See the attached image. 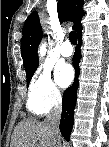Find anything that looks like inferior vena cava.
<instances>
[{"instance_id":"inferior-vena-cava-1","label":"inferior vena cava","mask_w":109,"mask_h":147,"mask_svg":"<svg viewBox=\"0 0 109 147\" xmlns=\"http://www.w3.org/2000/svg\"><path fill=\"white\" fill-rule=\"evenodd\" d=\"M62 108L61 104H56L45 119V124L49 128L50 137L53 143V147H61L60 143V131L59 122L61 119Z\"/></svg>"}]
</instances>
